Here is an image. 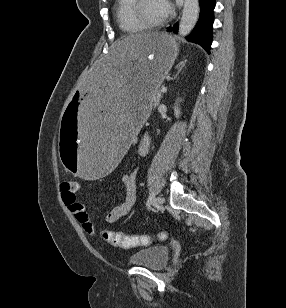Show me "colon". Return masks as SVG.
Returning a JSON list of instances; mask_svg holds the SVG:
<instances>
[{
	"mask_svg": "<svg viewBox=\"0 0 286 308\" xmlns=\"http://www.w3.org/2000/svg\"><path fill=\"white\" fill-rule=\"evenodd\" d=\"M79 189V183L75 180H65L61 183V191L63 195L74 197ZM103 237L109 244L120 248H134L146 246L153 243L157 239H164V235L152 237L149 235H123L117 231L107 230L103 233Z\"/></svg>",
	"mask_w": 286,
	"mask_h": 308,
	"instance_id": "5ec220e1",
	"label": "colon"
}]
</instances>
